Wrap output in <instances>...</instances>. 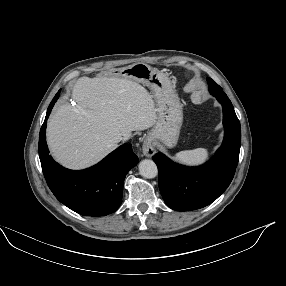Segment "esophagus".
I'll return each instance as SVG.
<instances>
[{"mask_svg":"<svg viewBox=\"0 0 286 286\" xmlns=\"http://www.w3.org/2000/svg\"><path fill=\"white\" fill-rule=\"evenodd\" d=\"M142 152H143L144 156L149 157V158L155 154L156 150H155L152 142L149 139H146L143 142Z\"/></svg>","mask_w":286,"mask_h":286,"instance_id":"1","label":"esophagus"}]
</instances>
